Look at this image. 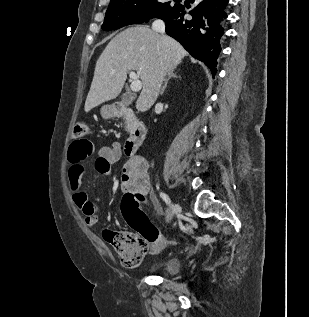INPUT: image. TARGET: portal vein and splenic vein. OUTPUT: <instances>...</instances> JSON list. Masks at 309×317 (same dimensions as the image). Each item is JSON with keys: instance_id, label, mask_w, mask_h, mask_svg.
Instances as JSON below:
<instances>
[{"instance_id": "18ae733b", "label": "portal vein and splenic vein", "mask_w": 309, "mask_h": 317, "mask_svg": "<svg viewBox=\"0 0 309 317\" xmlns=\"http://www.w3.org/2000/svg\"><path fill=\"white\" fill-rule=\"evenodd\" d=\"M129 77L131 79V85H130L131 90L133 92L140 91L142 88V82L139 80V76L135 72L131 71L129 73Z\"/></svg>"}]
</instances>
